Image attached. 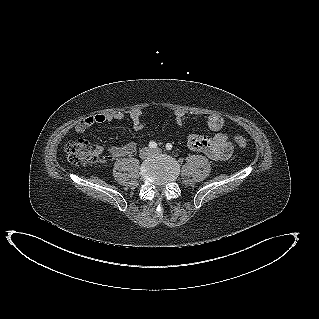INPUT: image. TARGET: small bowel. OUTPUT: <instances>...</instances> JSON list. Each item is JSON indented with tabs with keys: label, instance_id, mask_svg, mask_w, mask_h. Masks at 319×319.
Here are the masks:
<instances>
[{
	"label": "small bowel",
	"instance_id": "c3829d8e",
	"mask_svg": "<svg viewBox=\"0 0 319 319\" xmlns=\"http://www.w3.org/2000/svg\"><path fill=\"white\" fill-rule=\"evenodd\" d=\"M143 112L139 109L132 110L129 114L133 128L135 130H142L146 124L142 120ZM174 119L179 126H185L188 122L195 120L182 110L173 111ZM124 113H100L92 115L84 119L76 125L75 130L77 133H84L94 125L115 120H122ZM204 121L213 132L212 135H198L191 133L187 136V146L192 151H197L205 154L214 161H225L232 156L234 146L229 140V135L222 131L224 126V119L221 115L211 113L203 117ZM103 145L97 143L94 148V154L99 157L104 152ZM136 152V144L129 142L123 146H112L106 150L105 159L113 161L117 158L128 157Z\"/></svg>",
	"mask_w": 319,
	"mask_h": 319
}]
</instances>
